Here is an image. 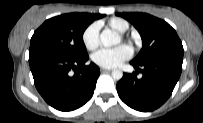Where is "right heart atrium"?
Segmentation results:
<instances>
[{
  "label": "right heart atrium",
  "mask_w": 203,
  "mask_h": 123,
  "mask_svg": "<svg viewBox=\"0 0 203 123\" xmlns=\"http://www.w3.org/2000/svg\"><path fill=\"white\" fill-rule=\"evenodd\" d=\"M99 30L100 24L94 22L84 31L82 40L88 50H94L99 45Z\"/></svg>",
  "instance_id": "1"
}]
</instances>
